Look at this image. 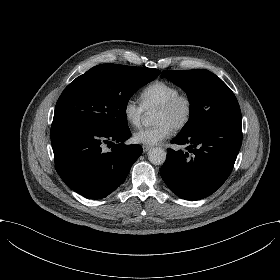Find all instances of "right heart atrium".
Returning a JSON list of instances; mask_svg holds the SVG:
<instances>
[{"instance_id":"1","label":"right heart atrium","mask_w":280,"mask_h":280,"mask_svg":"<svg viewBox=\"0 0 280 280\" xmlns=\"http://www.w3.org/2000/svg\"><path fill=\"white\" fill-rule=\"evenodd\" d=\"M122 111L125 120L129 124L137 126L145 112V108L142 104L136 102L134 99L129 98L123 103Z\"/></svg>"}]
</instances>
